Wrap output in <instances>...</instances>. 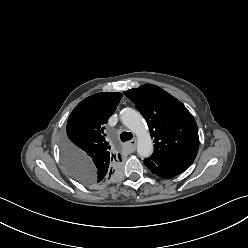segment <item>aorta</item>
Returning <instances> with one entry per match:
<instances>
[{
	"instance_id": "obj_1",
	"label": "aorta",
	"mask_w": 248,
	"mask_h": 248,
	"mask_svg": "<svg viewBox=\"0 0 248 248\" xmlns=\"http://www.w3.org/2000/svg\"><path fill=\"white\" fill-rule=\"evenodd\" d=\"M122 123L137 135V152L140 157H149L153 152V143L139 112L132 108H125L121 111Z\"/></svg>"
}]
</instances>
